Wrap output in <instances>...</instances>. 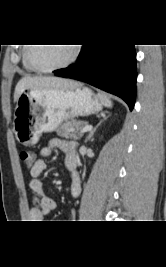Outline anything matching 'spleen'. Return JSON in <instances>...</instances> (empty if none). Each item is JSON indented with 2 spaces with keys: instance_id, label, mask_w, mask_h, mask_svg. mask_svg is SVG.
<instances>
[{
  "instance_id": "3e777b00",
  "label": "spleen",
  "mask_w": 166,
  "mask_h": 267,
  "mask_svg": "<svg viewBox=\"0 0 166 267\" xmlns=\"http://www.w3.org/2000/svg\"><path fill=\"white\" fill-rule=\"evenodd\" d=\"M98 97H99V99L101 100V102L103 103L104 106L109 107V108L112 107V102L106 95H103V94L99 93Z\"/></svg>"
}]
</instances>
